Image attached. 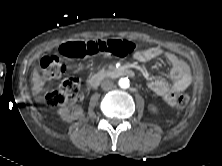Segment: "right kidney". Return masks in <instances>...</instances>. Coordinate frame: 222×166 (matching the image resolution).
Wrapping results in <instances>:
<instances>
[{
	"label": "right kidney",
	"mask_w": 222,
	"mask_h": 166,
	"mask_svg": "<svg viewBox=\"0 0 222 166\" xmlns=\"http://www.w3.org/2000/svg\"><path fill=\"white\" fill-rule=\"evenodd\" d=\"M72 110L73 112L69 113V109L63 107L58 110V114L66 122H72L83 116V109L80 106H74Z\"/></svg>",
	"instance_id": "right-kidney-1"
}]
</instances>
